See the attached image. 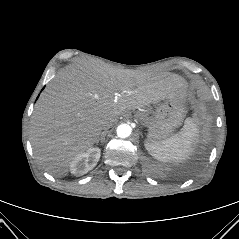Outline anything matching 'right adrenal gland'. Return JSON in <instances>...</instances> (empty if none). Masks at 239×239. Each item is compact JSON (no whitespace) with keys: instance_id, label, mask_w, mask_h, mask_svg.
Instances as JSON below:
<instances>
[{"instance_id":"right-adrenal-gland-1","label":"right adrenal gland","mask_w":239,"mask_h":239,"mask_svg":"<svg viewBox=\"0 0 239 239\" xmlns=\"http://www.w3.org/2000/svg\"><path fill=\"white\" fill-rule=\"evenodd\" d=\"M106 134H107V131L102 132L101 137L96 141V143L98 144L99 142H101L103 144L105 142Z\"/></svg>"}]
</instances>
